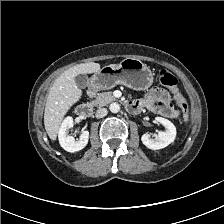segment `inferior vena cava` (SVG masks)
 <instances>
[{
	"label": "inferior vena cava",
	"instance_id": "1",
	"mask_svg": "<svg viewBox=\"0 0 224 224\" xmlns=\"http://www.w3.org/2000/svg\"><path fill=\"white\" fill-rule=\"evenodd\" d=\"M108 111L106 108H100L96 111V118H103L107 115Z\"/></svg>",
	"mask_w": 224,
	"mask_h": 224
}]
</instances>
